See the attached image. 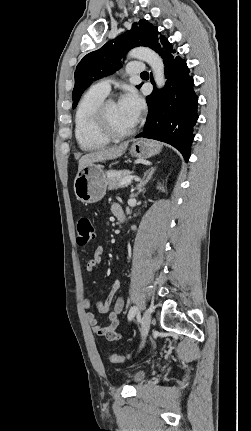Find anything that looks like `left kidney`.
Wrapping results in <instances>:
<instances>
[{
	"label": "left kidney",
	"mask_w": 251,
	"mask_h": 431,
	"mask_svg": "<svg viewBox=\"0 0 251 431\" xmlns=\"http://www.w3.org/2000/svg\"><path fill=\"white\" fill-rule=\"evenodd\" d=\"M157 188H158L159 190H161V191H165L163 186H160V185H159Z\"/></svg>",
	"instance_id": "left-kidney-1"
}]
</instances>
